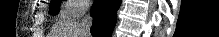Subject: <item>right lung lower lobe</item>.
<instances>
[{
	"label": "right lung lower lobe",
	"mask_w": 219,
	"mask_h": 37,
	"mask_svg": "<svg viewBox=\"0 0 219 37\" xmlns=\"http://www.w3.org/2000/svg\"><path fill=\"white\" fill-rule=\"evenodd\" d=\"M120 5L121 0H97L93 4V25L91 27L93 37H111Z\"/></svg>",
	"instance_id": "98d812e1"
}]
</instances>
